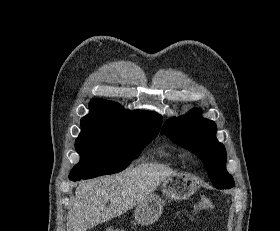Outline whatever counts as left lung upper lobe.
<instances>
[{
	"label": "left lung upper lobe",
	"instance_id": "obj_1",
	"mask_svg": "<svg viewBox=\"0 0 280 231\" xmlns=\"http://www.w3.org/2000/svg\"><path fill=\"white\" fill-rule=\"evenodd\" d=\"M216 124L202 118L200 111L172 118L163 125L161 134L196 154L204 163L214 187H234L233 177L226 170V150L216 138Z\"/></svg>",
	"mask_w": 280,
	"mask_h": 231
}]
</instances>
